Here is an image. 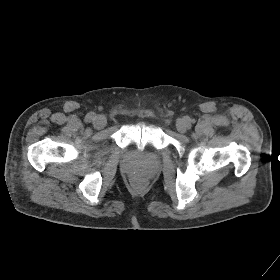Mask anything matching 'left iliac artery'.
Masks as SVG:
<instances>
[{
	"mask_svg": "<svg viewBox=\"0 0 280 280\" xmlns=\"http://www.w3.org/2000/svg\"><path fill=\"white\" fill-rule=\"evenodd\" d=\"M185 120L188 124H190L192 122V120L190 118H186Z\"/></svg>",
	"mask_w": 280,
	"mask_h": 280,
	"instance_id": "1",
	"label": "left iliac artery"
}]
</instances>
